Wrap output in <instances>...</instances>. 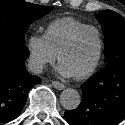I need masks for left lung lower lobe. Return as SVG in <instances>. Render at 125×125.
<instances>
[{"label":"left lung lower lobe","instance_id":"left-lung-lower-lobe-1","mask_svg":"<svg viewBox=\"0 0 125 125\" xmlns=\"http://www.w3.org/2000/svg\"><path fill=\"white\" fill-rule=\"evenodd\" d=\"M80 105L65 112L70 125H117L125 118V56L109 60L82 85Z\"/></svg>","mask_w":125,"mask_h":125}]
</instances>
